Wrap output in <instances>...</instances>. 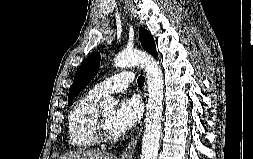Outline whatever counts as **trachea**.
<instances>
[{"label":"trachea","instance_id":"obj_1","mask_svg":"<svg viewBox=\"0 0 253 159\" xmlns=\"http://www.w3.org/2000/svg\"><path fill=\"white\" fill-rule=\"evenodd\" d=\"M145 82V78L143 76H139L137 79V83L139 86H143Z\"/></svg>","mask_w":253,"mask_h":159}]
</instances>
